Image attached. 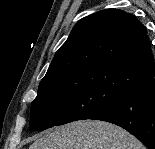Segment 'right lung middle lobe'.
Here are the masks:
<instances>
[{
  "instance_id": "1",
  "label": "right lung middle lobe",
  "mask_w": 155,
  "mask_h": 149,
  "mask_svg": "<svg viewBox=\"0 0 155 149\" xmlns=\"http://www.w3.org/2000/svg\"><path fill=\"white\" fill-rule=\"evenodd\" d=\"M146 79L130 69L107 67L41 81L29 128L40 131L89 119Z\"/></svg>"
}]
</instances>
